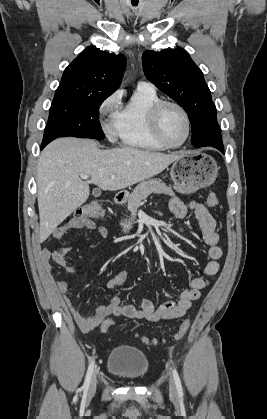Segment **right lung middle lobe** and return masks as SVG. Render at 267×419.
I'll list each match as a JSON object with an SVG mask.
<instances>
[{
  "instance_id": "obj_1",
  "label": "right lung middle lobe",
  "mask_w": 267,
  "mask_h": 419,
  "mask_svg": "<svg viewBox=\"0 0 267 419\" xmlns=\"http://www.w3.org/2000/svg\"><path fill=\"white\" fill-rule=\"evenodd\" d=\"M108 95H55L49 110L44 139L62 136L102 140L99 107Z\"/></svg>"
}]
</instances>
